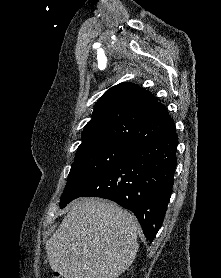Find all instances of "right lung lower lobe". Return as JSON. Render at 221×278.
Returning a JSON list of instances; mask_svg holds the SVG:
<instances>
[{"mask_svg": "<svg viewBox=\"0 0 221 278\" xmlns=\"http://www.w3.org/2000/svg\"><path fill=\"white\" fill-rule=\"evenodd\" d=\"M176 132L132 146L126 157L81 190L78 197H101L132 211L152 241L161 228L177 163Z\"/></svg>", "mask_w": 221, "mask_h": 278, "instance_id": "98d812e1", "label": "right lung lower lobe"}]
</instances>
